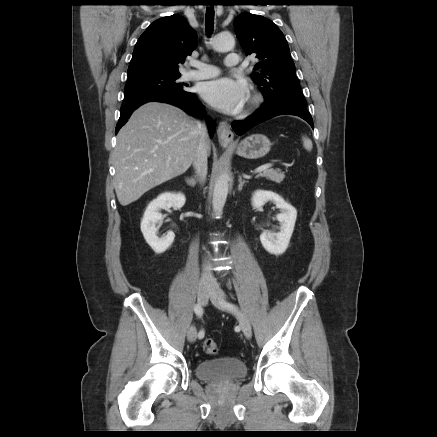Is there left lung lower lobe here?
Here are the masks:
<instances>
[{
    "label": "left lung lower lobe",
    "mask_w": 437,
    "mask_h": 437,
    "mask_svg": "<svg viewBox=\"0 0 437 437\" xmlns=\"http://www.w3.org/2000/svg\"><path fill=\"white\" fill-rule=\"evenodd\" d=\"M285 114L299 116L305 121H307L312 128H314L312 117L310 113L307 111L306 107H301L292 104H276L271 106H262L251 116L247 117L245 120L232 122V128L237 135H242L250 128L254 127L255 125L261 122Z\"/></svg>",
    "instance_id": "left-lung-lower-lobe-1"
}]
</instances>
